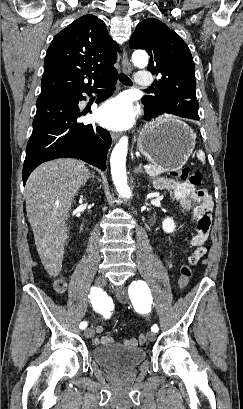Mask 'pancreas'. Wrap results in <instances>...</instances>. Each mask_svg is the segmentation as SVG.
<instances>
[{"label": "pancreas", "instance_id": "obj_1", "mask_svg": "<svg viewBox=\"0 0 243 409\" xmlns=\"http://www.w3.org/2000/svg\"><path fill=\"white\" fill-rule=\"evenodd\" d=\"M165 170L156 166H150V169L146 170V173L150 176V178H156L160 174L164 173Z\"/></svg>", "mask_w": 243, "mask_h": 409}]
</instances>
